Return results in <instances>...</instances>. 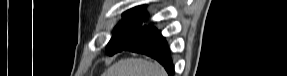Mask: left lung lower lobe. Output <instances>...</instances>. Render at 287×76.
Here are the masks:
<instances>
[{
  "label": "left lung lower lobe",
  "mask_w": 287,
  "mask_h": 76,
  "mask_svg": "<svg viewBox=\"0 0 287 76\" xmlns=\"http://www.w3.org/2000/svg\"><path fill=\"white\" fill-rule=\"evenodd\" d=\"M123 50H129L132 52L143 53L145 55H148L156 59L159 63H161L170 76L174 74V66L169 56L167 44L165 42V39L162 37L161 33L157 30L150 32L141 40L133 44H129L121 48L117 52Z\"/></svg>",
  "instance_id": "obj_1"
}]
</instances>
